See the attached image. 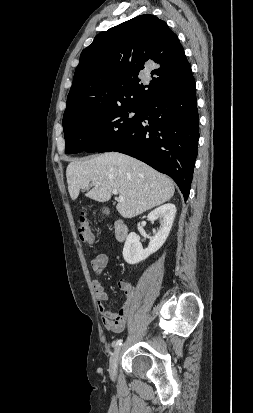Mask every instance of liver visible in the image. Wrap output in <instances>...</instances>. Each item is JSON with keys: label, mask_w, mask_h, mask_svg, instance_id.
I'll return each instance as SVG.
<instances>
[{"label": "liver", "mask_w": 253, "mask_h": 413, "mask_svg": "<svg viewBox=\"0 0 253 413\" xmlns=\"http://www.w3.org/2000/svg\"><path fill=\"white\" fill-rule=\"evenodd\" d=\"M68 191L76 200L81 189L98 202L111 198L114 189L123 196L116 209L124 218H133L174 195L173 181L147 164L118 152H107L90 159L76 160L66 169ZM90 186H93L90 189Z\"/></svg>", "instance_id": "1"}]
</instances>
